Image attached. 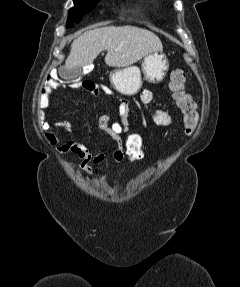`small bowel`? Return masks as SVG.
Masks as SVG:
<instances>
[{
    "mask_svg": "<svg viewBox=\"0 0 240 287\" xmlns=\"http://www.w3.org/2000/svg\"><path fill=\"white\" fill-rule=\"evenodd\" d=\"M62 86L56 79L48 77L45 87L41 91L38 106L42 110L50 107L51 97L54 91ZM91 92L94 95H99L102 92L108 97H113L117 101L118 122L125 129H128L130 104L128 100L117 97L114 91L105 85L95 86ZM140 101L145 112L149 113L153 122L161 127H169L173 124L172 116L164 110L152 107L153 93L150 90H143L140 94ZM56 129L63 130L66 133L67 140L63 136L50 132L47 135V140L50 143L57 144L58 150L62 153H72L80 159V168L87 173L92 172L93 165H100L105 160V154L102 150L91 151L84 143L71 138V123L68 120H62L55 123ZM99 132L110 136L114 140V150L112 158L115 163L119 164L125 159L122 148V139L116 136L111 128L110 117L107 114H102L97 123Z\"/></svg>",
    "mask_w": 240,
    "mask_h": 287,
    "instance_id": "c3829d8e",
    "label": "small bowel"
}]
</instances>
